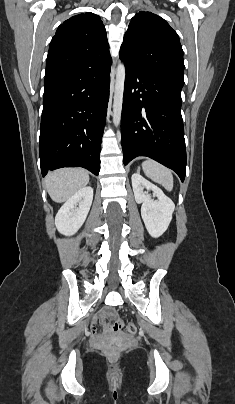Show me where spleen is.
<instances>
[{
	"instance_id": "spleen-1",
	"label": "spleen",
	"mask_w": 235,
	"mask_h": 404,
	"mask_svg": "<svg viewBox=\"0 0 235 404\" xmlns=\"http://www.w3.org/2000/svg\"><path fill=\"white\" fill-rule=\"evenodd\" d=\"M142 168L152 181L161 184L168 191L173 189V175L168 168L151 159L144 161Z\"/></svg>"
}]
</instances>
